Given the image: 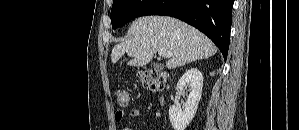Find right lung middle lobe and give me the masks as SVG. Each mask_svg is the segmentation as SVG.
Returning <instances> with one entry per match:
<instances>
[{
  "label": "right lung middle lobe",
  "instance_id": "obj_1",
  "mask_svg": "<svg viewBox=\"0 0 299 130\" xmlns=\"http://www.w3.org/2000/svg\"><path fill=\"white\" fill-rule=\"evenodd\" d=\"M152 0H113L111 22L114 29L137 17Z\"/></svg>",
  "mask_w": 299,
  "mask_h": 130
}]
</instances>
